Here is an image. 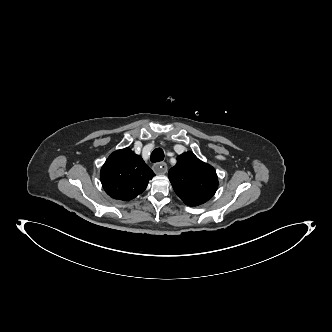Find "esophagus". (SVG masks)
I'll use <instances>...</instances> for the list:
<instances>
[{
	"label": "esophagus",
	"mask_w": 332,
	"mask_h": 332,
	"mask_svg": "<svg viewBox=\"0 0 332 332\" xmlns=\"http://www.w3.org/2000/svg\"><path fill=\"white\" fill-rule=\"evenodd\" d=\"M167 164L165 162H159L154 164L153 170L156 174H165L167 172Z\"/></svg>",
	"instance_id": "1"
}]
</instances>
